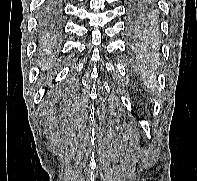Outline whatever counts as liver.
Masks as SVG:
<instances>
[{
    "instance_id": "liver-1",
    "label": "liver",
    "mask_w": 197,
    "mask_h": 181,
    "mask_svg": "<svg viewBox=\"0 0 197 181\" xmlns=\"http://www.w3.org/2000/svg\"><path fill=\"white\" fill-rule=\"evenodd\" d=\"M49 66H50V63H49V64L47 63L46 65H43L42 68H43V69H48Z\"/></svg>"
}]
</instances>
